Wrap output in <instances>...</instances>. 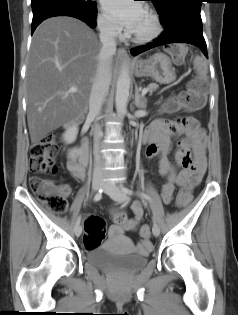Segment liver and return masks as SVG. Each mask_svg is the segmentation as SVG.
Listing matches in <instances>:
<instances>
[{
    "mask_svg": "<svg viewBox=\"0 0 238 315\" xmlns=\"http://www.w3.org/2000/svg\"><path fill=\"white\" fill-rule=\"evenodd\" d=\"M101 47L94 31L72 17H52L37 27L26 71L27 122L33 145L84 117ZM114 70L112 60L111 77ZM72 87L77 92H70Z\"/></svg>",
    "mask_w": 238,
    "mask_h": 315,
    "instance_id": "1",
    "label": "liver"
}]
</instances>
